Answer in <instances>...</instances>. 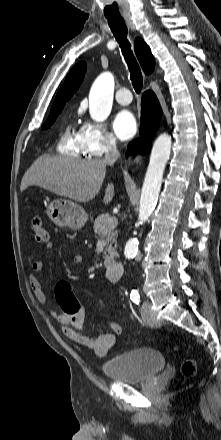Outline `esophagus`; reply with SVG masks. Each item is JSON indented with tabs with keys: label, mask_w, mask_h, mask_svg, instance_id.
<instances>
[{
	"label": "esophagus",
	"mask_w": 221,
	"mask_h": 440,
	"mask_svg": "<svg viewBox=\"0 0 221 440\" xmlns=\"http://www.w3.org/2000/svg\"><path fill=\"white\" fill-rule=\"evenodd\" d=\"M125 21H126L128 27H129L132 31H134V30H135V26H134V24L132 23L131 19H130L129 17H125ZM140 159H141V156L138 155V156L136 157V159H135V162L138 163V162L140 161Z\"/></svg>",
	"instance_id": "34e87169"
}]
</instances>
